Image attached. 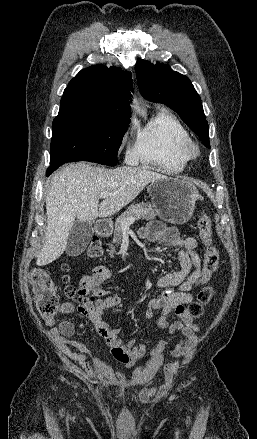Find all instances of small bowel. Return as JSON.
<instances>
[{
  "label": "small bowel",
  "mask_w": 257,
  "mask_h": 439,
  "mask_svg": "<svg viewBox=\"0 0 257 439\" xmlns=\"http://www.w3.org/2000/svg\"><path fill=\"white\" fill-rule=\"evenodd\" d=\"M139 236L152 244H161L164 248L176 249L180 268L158 279L157 285L162 288V292L148 302L144 317L150 318L159 314L158 326L160 328L167 329L171 334L177 332L182 334V338L171 351L173 358H180L194 346L198 331L196 323L186 316V305L193 299L190 291L194 286L201 284V258L196 252L198 242L194 237H182L176 227L166 226L159 221L150 222L141 228ZM110 276V270L99 265L82 277L80 288L102 298L96 301L93 309L84 310L79 307V312L92 320L98 333L104 339L109 354L122 367L133 368L144 357L146 346L136 339L123 340L120 336L121 327H112L105 320L103 312L120 306L122 302L119 296H107L101 288V284ZM73 311L74 305L71 302H61L57 314L46 318V324L53 327L52 332L63 346L65 353L79 363L87 373L93 374L88 359H93L99 365V357L94 349L72 338L75 333L74 323L70 320H62L57 327H54L58 314H69ZM170 314H174L179 320L170 319ZM166 346L167 341L161 339L151 350L146 363L150 372L161 366ZM173 369V365L166 367V379L171 377Z\"/></svg>",
  "instance_id": "1"
}]
</instances>
